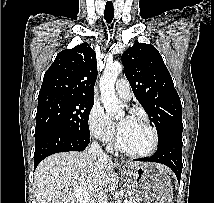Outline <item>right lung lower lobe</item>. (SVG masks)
<instances>
[{
    "label": "right lung lower lobe",
    "instance_id": "right-lung-lower-lobe-1",
    "mask_svg": "<svg viewBox=\"0 0 214 203\" xmlns=\"http://www.w3.org/2000/svg\"><path fill=\"white\" fill-rule=\"evenodd\" d=\"M89 142L90 137L57 130L46 131L35 138L34 169L49 155L66 151H83Z\"/></svg>",
    "mask_w": 214,
    "mask_h": 203
}]
</instances>
